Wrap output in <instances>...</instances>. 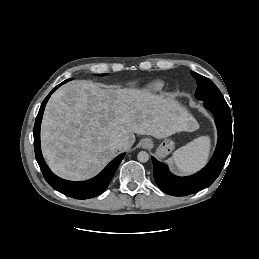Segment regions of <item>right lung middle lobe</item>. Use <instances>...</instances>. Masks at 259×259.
I'll return each mask as SVG.
<instances>
[{
    "label": "right lung middle lobe",
    "mask_w": 259,
    "mask_h": 259,
    "mask_svg": "<svg viewBox=\"0 0 259 259\" xmlns=\"http://www.w3.org/2000/svg\"><path fill=\"white\" fill-rule=\"evenodd\" d=\"M104 75H107V74H99V76H104ZM70 79L68 80H65V83L68 82Z\"/></svg>",
    "instance_id": "right-lung-middle-lobe-1"
}]
</instances>
